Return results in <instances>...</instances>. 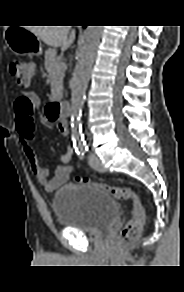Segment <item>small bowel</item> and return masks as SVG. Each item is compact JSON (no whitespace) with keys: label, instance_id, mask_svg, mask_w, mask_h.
Segmentation results:
<instances>
[{"label":"small bowel","instance_id":"obj_1","mask_svg":"<svg viewBox=\"0 0 184 292\" xmlns=\"http://www.w3.org/2000/svg\"><path fill=\"white\" fill-rule=\"evenodd\" d=\"M57 129L63 135H67L69 132L67 125L64 123H58ZM17 132L20 142L23 145L25 154L29 160L30 169L40 184L47 191H54L64 185L70 179L73 173L72 167L68 165L73 153L72 147L68 146L66 152L58 157L57 160L61 164L56 167L53 175L50 176L49 171L40 165L34 152L32 146L34 140V129L29 133H25L17 125Z\"/></svg>","mask_w":184,"mask_h":292}]
</instances>
